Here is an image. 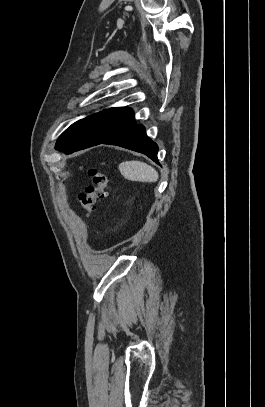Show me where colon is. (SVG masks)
Masks as SVG:
<instances>
[{
	"mask_svg": "<svg viewBox=\"0 0 265 407\" xmlns=\"http://www.w3.org/2000/svg\"><path fill=\"white\" fill-rule=\"evenodd\" d=\"M90 184L80 195V202L87 218L91 217L96 209V203L106 197V188L108 185L107 176L98 168L88 169Z\"/></svg>",
	"mask_w": 265,
	"mask_h": 407,
	"instance_id": "1",
	"label": "colon"
}]
</instances>
